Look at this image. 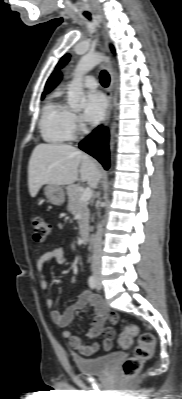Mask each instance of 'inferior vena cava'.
Instances as JSON below:
<instances>
[{
	"label": "inferior vena cava",
	"mask_w": 182,
	"mask_h": 399,
	"mask_svg": "<svg viewBox=\"0 0 182 399\" xmlns=\"http://www.w3.org/2000/svg\"><path fill=\"white\" fill-rule=\"evenodd\" d=\"M101 254H102V224H97V232L93 239V254L91 268L94 273L101 269Z\"/></svg>",
	"instance_id": "inferior-vena-cava-1"
}]
</instances>
